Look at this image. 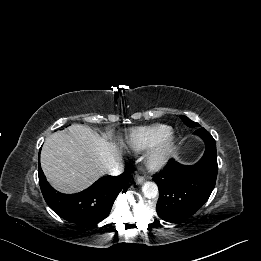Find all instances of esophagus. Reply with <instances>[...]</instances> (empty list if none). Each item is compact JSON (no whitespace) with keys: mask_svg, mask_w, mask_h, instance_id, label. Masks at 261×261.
Listing matches in <instances>:
<instances>
[{"mask_svg":"<svg viewBox=\"0 0 261 261\" xmlns=\"http://www.w3.org/2000/svg\"><path fill=\"white\" fill-rule=\"evenodd\" d=\"M144 177H142V176H139V175H136L135 176V182H136V184H142L143 182H144Z\"/></svg>","mask_w":261,"mask_h":261,"instance_id":"obj_1","label":"esophagus"}]
</instances>
